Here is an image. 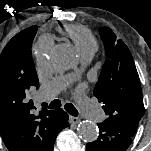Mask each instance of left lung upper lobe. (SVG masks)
I'll use <instances>...</instances> for the list:
<instances>
[{
    "label": "left lung upper lobe",
    "mask_w": 151,
    "mask_h": 151,
    "mask_svg": "<svg viewBox=\"0 0 151 151\" xmlns=\"http://www.w3.org/2000/svg\"><path fill=\"white\" fill-rule=\"evenodd\" d=\"M107 60L94 88V95L108 118L105 123L129 136L136 133L144 105L139 76L132 55L108 27L100 28Z\"/></svg>",
    "instance_id": "left-lung-upper-lobe-1"
}]
</instances>
